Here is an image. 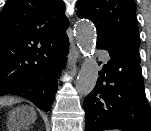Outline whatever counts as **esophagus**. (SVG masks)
<instances>
[{
  "label": "esophagus",
  "instance_id": "esophagus-1",
  "mask_svg": "<svg viewBox=\"0 0 151 131\" xmlns=\"http://www.w3.org/2000/svg\"><path fill=\"white\" fill-rule=\"evenodd\" d=\"M78 58H79V51L75 46H73L69 52L67 67L72 68L73 64L78 60Z\"/></svg>",
  "mask_w": 151,
  "mask_h": 131
}]
</instances>
